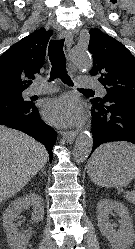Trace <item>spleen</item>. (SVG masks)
<instances>
[{
  "label": "spleen",
  "instance_id": "spleen-1",
  "mask_svg": "<svg viewBox=\"0 0 135 249\" xmlns=\"http://www.w3.org/2000/svg\"><path fill=\"white\" fill-rule=\"evenodd\" d=\"M110 148L118 152H124L126 154L135 156V146L129 143L117 142V143H114ZM98 152H99V149L94 153L92 157H95V155Z\"/></svg>",
  "mask_w": 135,
  "mask_h": 249
}]
</instances>
